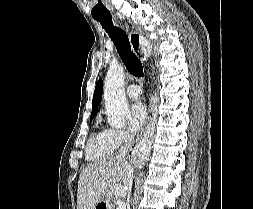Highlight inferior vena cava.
Listing matches in <instances>:
<instances>
[{
    "instance_id": "1",
    "label": "inferior vena cava",
    "mask_w": 253,
    "mask_h": 209,
    "mask_svg": "<svg viewBox=\"0 0 253 209\" xmlns=\"http://www.w3.org/2000/svg\"><path fill=\"white\" fill-rule=\"evenodd\" d=\"M124 140V144L121 146V148L118 150V152L116 153L115 157L119 160H123L127 163L126 161V154L128 152V149L131 145V143L133 142V135L130 133H126L123 137ZM128 170H129V174H128V178H129V182H128V186H129V194L128 197H130L131 194V189H132V177H133V173H132V169L130 167V165H127ZM130 209V208H128Z\"/></svg>"
}]
</instances>
